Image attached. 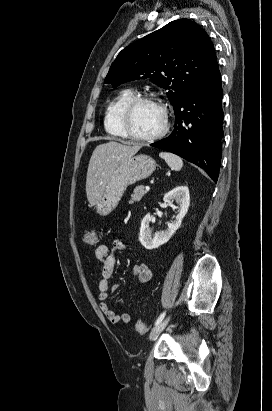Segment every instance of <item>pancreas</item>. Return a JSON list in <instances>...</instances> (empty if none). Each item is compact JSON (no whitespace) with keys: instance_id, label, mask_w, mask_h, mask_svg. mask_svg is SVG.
I'll list each match as a JSON object with an SVG mask.
<instances>
[{"instance_id":"cf45deb5","label":"pancreas","mask_w":272,"mask_h":411,"mask_svg":"<svg viewBox=\"0 0 272 411\" xmlns=\"http://www.w3.org/2000/svg\"><path fill=\"white\" fill-rule=\"evenodd\" d=\"M146 193L147 191L145 190V187L143 185L137 186L133 190V193L131 194V199L129 201V204H133L134 202H139Z\"/></svg>"}]
</instances>
